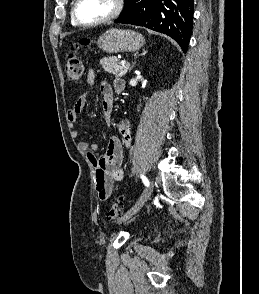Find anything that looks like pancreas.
Returning a JSON list of instances; mask_svg holds the SVG:
<instances>
[{
	"label": "pancreas",
	"instance_id": "obj_1",
	"mask_svg": "<svg viewBox=\"0 0 259 294\" xmlns=\"http://www.w3.org/2000/svg\"><path fill=\"white\" fill-rule=\"evenodd\" d=\"M100 64L106 72L117 77L124 76L128 71V66H120L118 64V58L115 56L101 59Z\"/></svg>",
	"mask_w": 259,
	"mask_h": 294
}]
</instances>
